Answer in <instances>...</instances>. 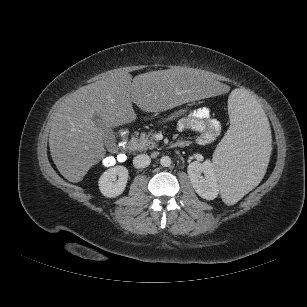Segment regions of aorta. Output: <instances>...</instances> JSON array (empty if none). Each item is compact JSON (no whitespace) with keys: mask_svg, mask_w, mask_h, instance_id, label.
<instances>
[{"mask_svg":"<svg viewBox=\"0 0 307 307\" xmlns=\"http://www.w3.org/2000/svg\"><path fill=\"white\" fill-rule=\"evenodd\" d=\"M160 164L163 167H169L171 165V158L169 156H163L160 159Z\"/></svg>","mask_w":307,"mask_h":307,"instance_id":"1","label":"aorta"}]
</instances>
